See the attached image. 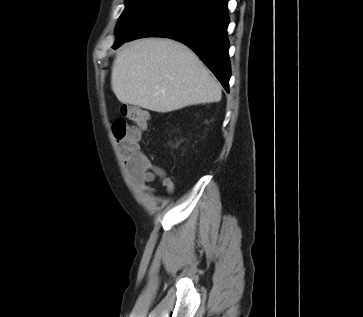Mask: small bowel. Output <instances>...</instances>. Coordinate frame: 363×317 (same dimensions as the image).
I'll use <instances>...</instances> for the list:
<instances>
[{
	"label": "small bowel",
	"mask_w": 363,
	"mask_h": 317,
	"mask_svg": "<svg viewBox=\"0 0 363 317\" xmlns=\"http://www.w3.org/2000/svg\"><path fill=\"white\" fill-rule=\"evenodd\" d=\"M146 161L143 166L134 168L128 166V170L132 175L134 181L137 183L138 187L146 192L153 193L155 189L149 186V183L154 182L156 179H159L164 187L166 188L168 193H172L174 190L173 183L171 179L165 174V172L154 165L147 156Z\"/></svg>",
	"instance_id": "1"
}]
</instances>
